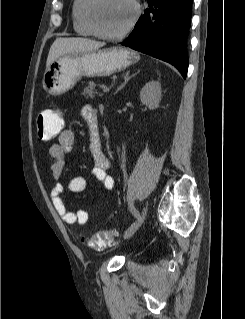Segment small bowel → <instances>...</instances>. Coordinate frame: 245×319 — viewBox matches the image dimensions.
<instances>
[{
    "instance_id": "1",
    "label": "small bowel",
    "mask_w": 245,
    "mask_h": 319,
    "mask_svg": "<svg viewBox=\"0 0 245 319\" xmlns=\"http://www.w3.org/2000/svg\"><path fill=\"white\" fill-rule=\"evenodd\" d=\"M81 116L90 128L93 142L92 155L94 158V166L92 174L98 179L100 184L108 191L115 187V179L108 171L112 167L110 159L104 154L100 138H99V113L92 105H85L82 108ZM75 144V134L72 129H64L59 136V140L49 147V155L52 158L51 172L55 179H59L64 171L65 157L72 150ZM86 187V180L84 177L76 176L68 181L66 185L57 183L53 186L50 196L53 205L62 218L69 225L78 224L83 227L89 219V213L85 209H77L75 212L69 210L62 198L65 190L71 193H80ZM104 209V206L95 208L94 212L98 213Z\"/></svg>"
}]
</instances>
